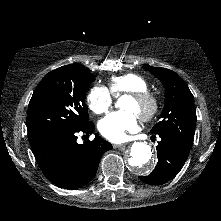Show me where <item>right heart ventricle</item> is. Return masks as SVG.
I'll list each match as a JSON object with an SVG mask.
<instances>
[{"label":"right heart ventricle","instance_id":"e07e8e85","mask_svg":"<svg viewBox=\"0 0 221 221\" xmlns=\"http://www.w3.org/2000/svg\"><path fill=\"white\" fill-rule=\"evenodd\" d=\"M108 86L113 95L146 91L149 89L146 79L136 73H125L113 76L109 79Z\"/></svg>","mask_w":221,"mask_h":221}]
</instances>
